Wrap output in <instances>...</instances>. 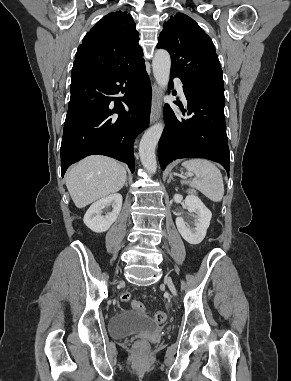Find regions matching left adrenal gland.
<instances>
[{
  "mask_svg": "<svg viewBox=\"0 0 291 381\" xmlns=\"http://www.w3.org/2000/svg\"><path fill=\"white\" fill-rule=\"evenodd\" d=\"M172 179H173V174L169 173V179L167 180V182L170 183Z\"/></svg>",
  "mask_w": 291,
  "mask_h": 381,
  "instance_id": "obj_1",
  "label": "left adrenal gland"
}]
</instances>
